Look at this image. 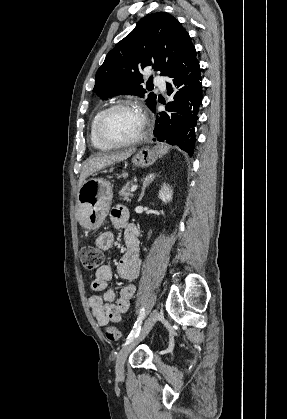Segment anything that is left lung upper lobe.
<instances>
[{
  "label": "left lung upper lobe",
  "mask_w": 287,
  "mask_h": 419,
  "mask_svg": "<svg viewBox=\"0 0 287 419\" xmlns=\"http://www.w3.org/2000/svg\"><path fill=\"white\" fill-rule=\"evenodd\" d=\"M196 58L189 34L174 17L165 12L150 14L111 50L96 73L93 89L101 98L120 94L143 97L146 90L141 70L152 66L161 76H171ZM156 95L146 102L151 108Z\"/></svg>",
  "instance_id": "left-lung-upper-lobe-1"
}]
</instances>
